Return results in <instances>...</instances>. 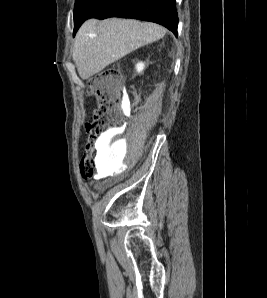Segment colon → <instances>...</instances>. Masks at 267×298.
I'll return each mask as SVG.
<instances>
[{"label": "colon", "instance_id": "1", "mask_svg": "<svg viewBox=\"0 0 267 298\" xmlns=\"http://www.w3.org/2000/svg\"><path fill=\"white\" fill-rule=\"evenodd\" d=\"M121 87L122 78L116 69H106L91 79L89 90L96 97V107L92 120L86 124L88 140L80 161V172L86 179L98 173L96 157L106 132L123 124L120 114Z\"/></svg>", "mask_w": 267, "mask_h": 298}]
</instances>
